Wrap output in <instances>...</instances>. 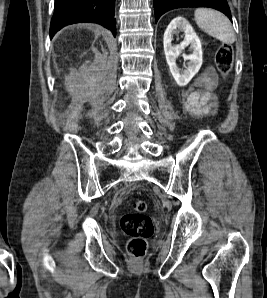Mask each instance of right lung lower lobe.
Masks as SVG:
<instances>
[{"mask_svg": "<svg viewBox=\"0 0 267 298\" xmlns=\"http://www.w3.org/2000/svg\"><path fill=\"white\" fill-rule=\"evenodd\" d=\"M115 0H55L50 25V38L64 26L93 22L109 29L116 36Z\"/></svg>", "mask_w": 267, "mask_h": 298, "instance_id": "1", "label": "right lung lower lobe"}]
</instances>
